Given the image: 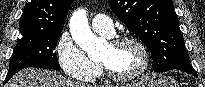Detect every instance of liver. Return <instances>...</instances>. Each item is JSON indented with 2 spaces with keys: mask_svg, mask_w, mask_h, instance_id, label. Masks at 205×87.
<instances>
[{
  "mask_svg": "<svg viewBox=\"0 0 205 87\" xmlns=\"http://www.w3.org/2000/svg\"><path fill=\"white\" fill-rule=\"evenodd\" d=\"M6 87H101L75 82L58 74L35 68H26L17 72Z\"/></svg>",
  "mask_w": 205,
  "mask_h": 87,
  "instance_id": "6515ba94",
  "label": "liver"
}]
</instances>
